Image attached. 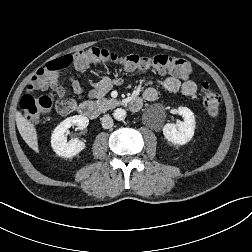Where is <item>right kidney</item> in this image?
Instances as JSON below:
<instances>
[{"label": "right kidney", "instance_id": "right-kidney-1", "mask_svg": "<svg viewBox=\"0 0 252 252\" xmlns=\"http://www.w3.org/2000/svg\"><path fill=\"white\" fill-rule=\"evenodd\" d=\"M89 124L87 117L75 115L63 120L53 131L51 136V146L58 156L71 158L80 153L85 147V143L78 139L67 141L66 132L71 126H77L83 130Z\"/></svg>", "mask_w": 252, "mask_h": 252}]
</instances>
